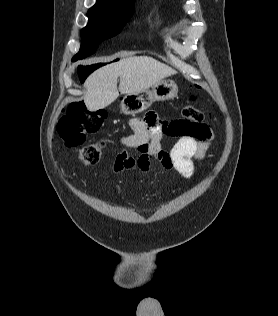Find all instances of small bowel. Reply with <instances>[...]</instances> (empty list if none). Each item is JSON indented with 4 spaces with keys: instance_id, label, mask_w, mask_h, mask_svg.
<instances>
[{
    "instance_id": "1",
    "label": "small bowel",
    "mask_w": 278,
    "mask_h": 316,
    "mask_svg": "<svg viewBox=\"0 0 278 316\" xmlns=\"http://www.w3.org/2000/svg\"><path fill=\"white\" fill-rule=\"evenodd\" d=\"M174 122H163L154 112L141 118H133L129 125L132 134L121 138L123 149L116 156L113 171L120 174L125 170L138 169L147 177L152 161H157L165 170L176 172L184 178H191L197 164H201L211 147L213 134L205 126L198 136L179 135L181 138L169 149L163 148L161 140L170 133ZM128 149L138 154L131 155Z\"/></svg>"
}]
</instances>
